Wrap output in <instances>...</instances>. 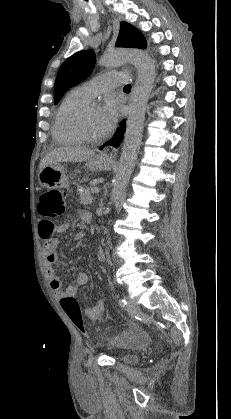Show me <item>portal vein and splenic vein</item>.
Returning a JSON list of instances; mask_svg holds the SVG:
<instances>
[{"mask_svg":"<svg viewBox=\"0 0 231 419\" xmlns=\"http://www.w3.org/2000/svg\"><path fill=\"white\" fill-rule=\"evenodd\" d=\"M91 192H92L93 194H97V193L99 192V188H98V187H94V188L91 190Z\"/></svg>","mask_w":231,"mask_h":419,"instance_id":"obj_1","label":"portal vein and splenic vein"}]
</instances>
